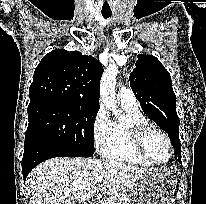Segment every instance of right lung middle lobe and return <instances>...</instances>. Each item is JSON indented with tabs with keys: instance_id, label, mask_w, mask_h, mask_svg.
Wrapping results in <instances>:
<instances>
[{
	"instance_id": "1",
	"label": "right lung middle lobe",
	"mask_w": 206,
	"mask_h": 204,
	"mask_svg": "<svg viewBox=\"0 0 206 204\" xmlns=\"http://www.w3.org/2000/svg\"><path fill=\"white\" fill-rule=\"evenodd\" d=\"M98 110L97 106L59 100L30 102L24 149L49 144L67 150L74 157H91L93 123Z\"/></svg>"
}]
</instances>
